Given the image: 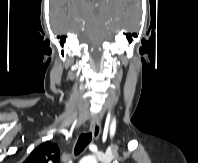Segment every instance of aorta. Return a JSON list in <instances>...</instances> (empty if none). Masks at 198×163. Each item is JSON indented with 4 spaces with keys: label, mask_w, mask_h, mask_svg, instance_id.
I'll use <instances>...</instances> for the list:
<instances>
[{
    "label": "aorta",
    "mask_w": 198,
    "mask_h": 163,
    "mask_svg": "<svg viewBox=\"0 0 198 163\" xmlns=\"http://www.w3.org/2000/svg\"><path fill=\"white\" fill-rule=\"evenodd\" d=\"M79 163H97V160L93 156H86L82 158Z\"/></svg>",
    "instance_id": "aorta-1"
}]
</instances>
